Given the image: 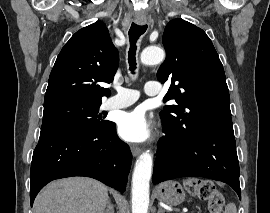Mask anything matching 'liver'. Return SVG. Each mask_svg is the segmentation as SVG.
I'll use <instances>...</instances> for the list:
<instances>
[{"label":"liver","instance_id":"6515ba94","mask_svg":"<svg viewBox=\"0 0 270 213\" xmlns=\"http://www.w3.org/2000/svg\"><path fill=\"white\" fill-rule=\"evenodd\" d=\"M107 187L90 178L73 177L47 185L36 197L34 213H104Z\"/></svg>","mask_w":270,"mask_h":213}]
</instances>
